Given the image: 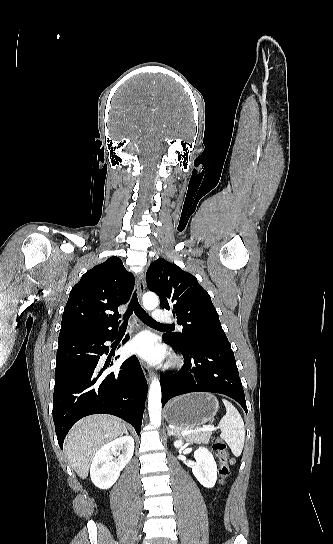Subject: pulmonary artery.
I'll list each match as a JSON object with an SVG mask.
<instances>
[{
	"instance_id": "1",
	"label": "pulmonary artery",
	"mask_w": 333,
	"mask_h": 544,
	"mask_svg": "<svg viewBox=\"0 0 333 544\" xmlns=\"http://www.w3.org/2000/svg\"><path fill=\"white\" fill-rule=\"evenodd\" d=\"M152 316H153V319L156 321V322H170L171 321V318L170 316L161 311V310H154L153 313H152Z\"/></svg>"
}]
</instances>
